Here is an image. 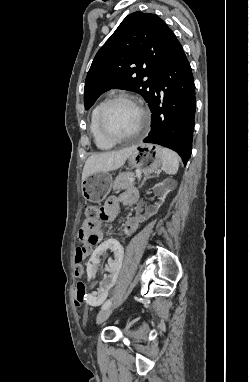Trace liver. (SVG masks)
Here are the masks:
<instances>
[{"mask_svg":"<svg viewBox=\"0 0 249 382\" xmlns=\"http://www.w3.org/2000/svg\"><path fill=\"white\" fill-rule=\"evenodd\" d=\"M132 151L133 147H128L119 151L91 155L85 162L82 181L94 172H108L120 168L124 165Z\"/></svg>","mask_w":249,"mask_h":382,"instance_id":"6515ba94","label":"liver"}]
</instances>
